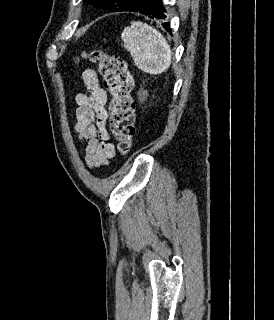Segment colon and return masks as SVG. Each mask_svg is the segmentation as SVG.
Wrapping results in <instances>:
<instances>
[{
  "label": "colon",
  "mask_w": 274,
  "mask_h": 320,
  "mask_svg": "<svg viewBox=\"0 0 274 320\" xmlns=\"http://www.w3.org/2000/svg\"><path fill=\"white\" fill-rule=\"evenodd\" d=\"M82 59L99 67L103 85L111 96L110 130L119 152L126 154L131 151L135 137L131 72L123 59L103 47L87 50Z\"/></svg>",
  "instance_id": "1"
}]
</instances>
